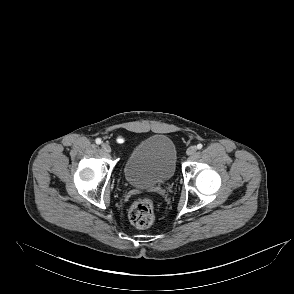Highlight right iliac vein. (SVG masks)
Segmentation results:
<instances>
[{
	"label": "right iliac vein",
	"mask_w": 294,
	"mask_h": 294,
	"mask_svg": "<svg viewBox=\"0 0 294 294\" xmlns=\"http://www.w3.org/2000/svg\"><path fill=\"white\" fill-rule=\"evenodd\" d=\"M101 147H102V149H103L105 152H107V153H111V148H110L109 144H107V143H102Z\"/></svg>",
	"instance_id": "1"
}]
</instances>
